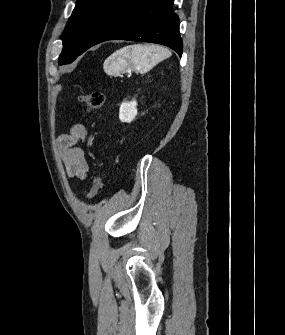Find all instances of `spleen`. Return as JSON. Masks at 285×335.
Here are the masks:
<instances>
[{
  "instance_id": "obj_1",
  "label": "spleen",
  "mask_w": 285,
  "mask_h": 335,
  "mask_svg": "<svg viewBox=\"0 0 285 335\" xmlns=\"http://www.w3.org/2000/svg\"><path fill=\"white\" fill-rule=\"evenodd\" d=\"M171 52L162 46H126L122 50H117L114 54L115 62L113 70L125 66V60L129 58L131 64L135 66V70H151L153 66L170 58Z\"/></svg>"
}]
</instances>
